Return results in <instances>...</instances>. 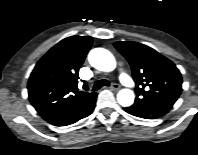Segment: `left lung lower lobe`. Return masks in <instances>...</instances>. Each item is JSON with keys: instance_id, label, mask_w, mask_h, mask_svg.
Here are the masks:
<instances>
[{"instance_id": "obj_1", "label": "left lung lower lobe", "mask_w": 198, "mask_h": 155, "mask_svg": "<svg viewBox=\"0 0 198 155\" xmlns=\"http://www.w3.org/2000/svg\"><path fill=\"white\" fill-rule=\"evenodd\" d=\"M170 109L169 106L147 107L137 104L124 108L127 113L144 119H156L166 114Z\"/></svg>"}]
</instances>
